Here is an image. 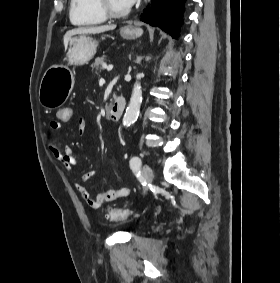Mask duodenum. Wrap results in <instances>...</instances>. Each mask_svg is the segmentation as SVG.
Here are the masks:
<instances>
[{
	"label": "duodenum",
	"mask_w": 280,
	"mask_h": 283,
	"mask_svg": "<svg viewBox=\"0 0 280 283\" xmlns=\"http://www.w3.org/2000/svg\"><path fill=\"white\" fill-rule=\"evenodd\" d=\"M125 107H126L125 98L118 97L114 101L113 105L111 106L108 112V119L113 122L118 121L122 117Z\"/></svg>",
	"instance_id": "obj_1"
}]
</instances>
